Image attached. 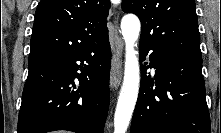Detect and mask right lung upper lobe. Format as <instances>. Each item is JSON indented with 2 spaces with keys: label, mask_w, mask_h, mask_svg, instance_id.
I'll list each match as a JSON object with an SVG mask.
<instances>
[{
  "label": "right lung upper lobe",
  "mask_w": 221,
  "mask_h": 133,
  "mask_svg": "<svg viewBox=\"0 0 221 133\" xmlns=\"http://www.w3.org/2000/svg\"><path fill=\"white\" fill-rule=\"evenodd\" d=\"M109 0H41L35 12L29 62L74 53L108 34Z\"/></svg>",
  "instance_id": "1"
}]
</instances>
